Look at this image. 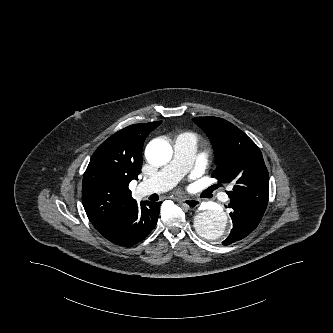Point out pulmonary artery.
<instances>
[{
	"mask_svg": "<svg viewBox=\"0 0 333 333\" xmlns=\"http://www.w3.org/2000/svg\"><path fill=\"white\" fill-rule=\"evenodd\" d=\"M197 139L191 134H181L174 142L172 161L154 176L142 181L139 190L142 194L158 193L171 189L185 175L197 153Z\"/></svg>",
	"mask_w": 333,
	"mask_h": 333,
	"instance_id": "e3ab8cb5",
	"label": "pulmonary artery"
}]
</instances>
